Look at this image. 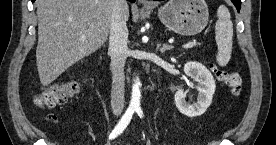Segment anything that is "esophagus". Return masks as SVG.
I'll return each mask as SVG.
<instances>
[{
    "label": "esophagus",
    "mask_w": 276,
    "mask_h": 145,
    "mask_svg": "<svg viewBox=\"0 0 276 145\" xmlns=\"http://www.w3.org/2000/svg\"><path fill=\"white\" fill-rule=\"evenodd\" d=\"M138 2H140V3L144 4V5H150L151 4V2L148 1V0H138Z\"/></svg>",
    "instance_id": "obj_1"
}]
</instances>
